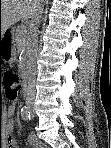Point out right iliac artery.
Masks as SVG:
<instances>
[{
  "instance_id": "right-iliac-artery-1",
  "label": "right iliac artery",
  "mask_w": 111,
  "mask_h": 148,
  "mask_svg": "<svg viewBox=\"0 0 111 148\" xmlns=\"http://www.w3.org/2000/svg\"><path fill=\"white\" fill-rule=\"evenodd\" d=\"M21 116L23 120H30V112L28 111L26 106L21 109Z\"/></svg>"
}]
</instances>
